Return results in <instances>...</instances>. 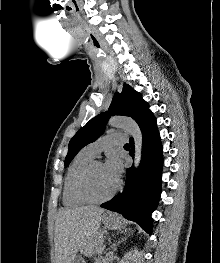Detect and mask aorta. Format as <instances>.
<instances>
[{"label":"aorta","mask_w":220,"mask_h":263,"mask_svg":"<svg viewBox=\"0 0 220 263\" xmlns=\"http://www.w3.org/2000/svg\"><path fill=\"white\" fill-rule=\"evenodd\" d=\"M109 126L113 128L125 129L134 139V166L137 168L140 164L142 157V133L138 124L126 117H113L109 121Z\"/></svg>","instance_id":"aorta-1"}]
</instances>
